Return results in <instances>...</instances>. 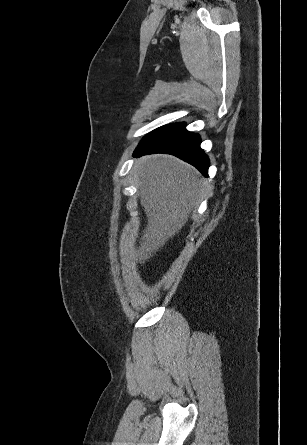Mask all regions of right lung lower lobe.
Here are the masks:
<instances>
[{
    "label": "right lung lower lobe",
    "mask_w": 307,
    "mask_h": 445,
    "mask_svg": "<svg viewBox=\"0 0 307 445\" xmlns=\"http://www.w3.org/2000/svg\"><path fill=\"white\" fill-rule=\"evenodd\" d=\"M200 143L199 135L188 132L185 123L168 124L146 135L134 151V157L153 153L171 154L192 164L207 177L209 159L200 148Z\"/></svg>",
    "instance_id": "98d812e1"
}]
</instances>
